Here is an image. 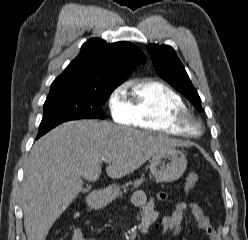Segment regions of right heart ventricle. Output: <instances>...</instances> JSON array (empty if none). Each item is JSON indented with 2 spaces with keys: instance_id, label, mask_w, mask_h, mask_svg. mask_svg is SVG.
Here are the masks:
<instances>
[{
  "instance_id": "right-heart-ventricle-1",
  "label": "right heart ventricle",
  "mask_w": 248,
  "mask_h": 240,
  "mask_svg": "<svg viewBox=\"0 0 248 240\" xmlns=\"http://www.w3.org/2000/svg\"><path fill=\"white\" fill-rule=\"evenodd\" d=\"M128 101L133 126L148 131L185 135L170 122V116L177 110H187V106L182 97L165 83L153 79L136 82Z\"/></svg>"
}]
</instances>
